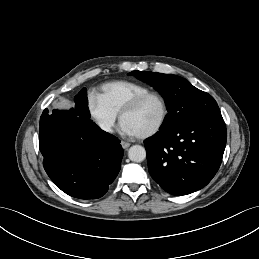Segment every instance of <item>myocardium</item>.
<instances>
[{"label": "myocardium", "instance_id": "obj_1", "mask_svg": "<svg viewBox=\"0 0 259 259\" xmlns=\"http://www.w3.org/2000/svg\"><path fill=\"white\" fill-rule=\"evenodd\" d=\"M149 98H156L160 101L162 108H163V113H162L161 119L159 120L157 125L155 127H153L151 130H149L143 134H139L138 136L140 138H149V137L154 136L165 125V123L168 119V116H169V106H168V102L165 99V97L158 92H148V93H145V94H142L140 96L133 98L131 101H129L124 106V108L120 112V120L123 121V118L125 115L135 111L144 101H146Z\"/></svg>", "mask_w": 259, "mask_h": 259}]
</instances>
